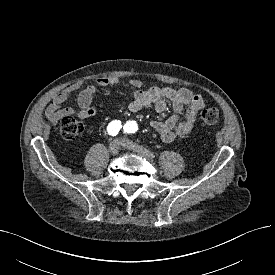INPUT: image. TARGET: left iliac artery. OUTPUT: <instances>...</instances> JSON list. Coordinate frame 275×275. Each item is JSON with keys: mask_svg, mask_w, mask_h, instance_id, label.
Here are the masks:
<instances>
[{"mask_svg": "<svg viewBox=\"0 0 275 275\" xmlns=\"http://www.w3.org/2000/svg\"><path fill=\"white\" fill-rule=\"evenodd\" d=\"M123 129L128 134L135 133L137 130V124L134 121H127Z\"/></svg>", "mask_w": 275, "mask_h": 275, "instance_id": "left-iliac-artery-1", "label": "left iliac artery"}]
</instances>
